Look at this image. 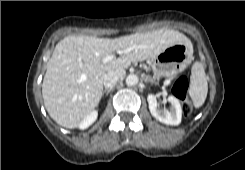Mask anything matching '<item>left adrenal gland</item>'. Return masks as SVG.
<instances>
[{
    "instance_id": "obj_1",
    "label": "left adrenal gland",
    "mask_w": 245,
    "mask_h": 170,
    "mask_svg": "<svg viewBox=\"0 0 245 170\" xmlns=\"http://www.w3.org/2000/svg\"><path fill=\"white\" fill-rule=\"evenodd\" d=\"M144 81H145L146 83L149 82V81L152 82V81H151L148 77H146V76L144 77Z\"/></svg>"
}]
</instances>
